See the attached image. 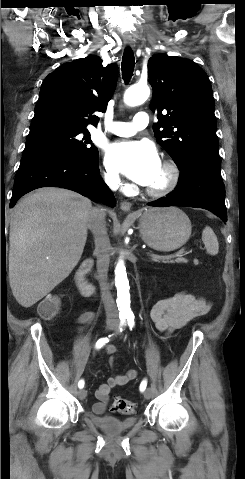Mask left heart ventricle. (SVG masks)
Masks as SVG:
<instances>
[{"instance_id":"b2bd125f","label":"left heart ventricle","mask_w":245,"mask_h":479,"mask_svg":"<svg viewBox=\"0 0 245 479\" xmlns=\"http://www.w3.org/2000/svg\"><path fill=\"white\" fill-rule=\"evenodd\" d=\"M165 177H166V173L165 171L163 170V168L161 167L157 177L155 178V180L149 185V187H157L159 185H161L164 180H165Z\"/></svg>"}]
</instances>
